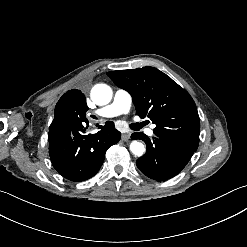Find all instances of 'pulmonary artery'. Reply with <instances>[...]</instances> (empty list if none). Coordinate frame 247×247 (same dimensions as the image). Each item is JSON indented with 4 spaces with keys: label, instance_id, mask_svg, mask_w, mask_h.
<instances>
[{
    "label": "pulmonary artery",
    "instance_id": "1",
    "mask_svg": "<svg viewBox=\"0 0 247 247\" xmlns=\"http://www.w3.org/2000/svg\"><path fill=\"white\" fill-rule=\"evenodd\" d=\"M133 96L125 89H117L114 93V98L112 102L98 110L92 112L93 115L99 118H113L122 113L128 112L132 106ZM89 122L93 119L88 115ZM155 124L150 125L147 129V134L150 136H155L154 128Z\"/></svg>",
    "mask_w": 247,
    "mask_h": 247
}]
</instances>
